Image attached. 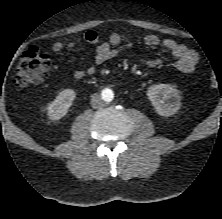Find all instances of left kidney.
Segmentation results:
<instances>
[{
  "label": "left kidney",
  "mask_w": 222,
  "mask_h": 219,
  "mask_svg": "<svg viewBox=\"0 0 222 219\" xmlns=\"http://www.w3.org/2000/svg\"><path fill=\"white\" fill-rule=\"evenodd\" d=\"M147 96L160 116L174 115L180 109L181 102L178 91L169 84L150 86Z\"/></svg>",
  "instance_id": "5707ae66"
}]
</instances>
